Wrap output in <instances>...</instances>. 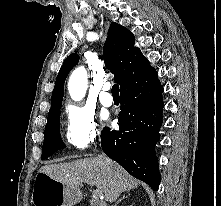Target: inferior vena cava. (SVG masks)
Listing matches in <instances>:
<instances>
[{"instance_id":"obj_1","label":"inferior vena cava","mask_w":221,"mask_h":206,"mask_svg":"<svg viewBox=\"0 0 221 206\" xmlns=\"http://www.w3.org/2000/svg\"><path fill=\"white\" fill-rule=\"evenodd\" d=\"M100 158H101L102 161H105V162L107 161V158L103 155Z\"/></svg>"}]
</instances>
